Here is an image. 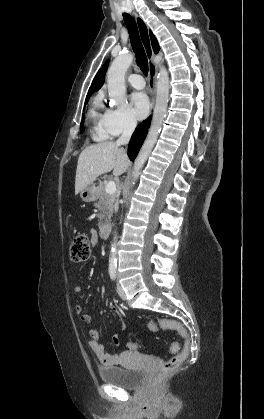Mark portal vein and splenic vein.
I'll return each mask as SVG.
<instances>
[{
	"mask_svg": "<svg viewBox=\"0 0 264 419\" xmlns=\"http://www.w3.org/2000/svg\"><path fill=\"white\" fill-rule=\"evenodd\" d=\"M106 192L108 194H114L116 192V184L114 181H109L106 185Z\"/></svg>",
	"mask_w": 264,
	"mask_h": 419,
	"instance_id": "portal-vein-and-splenic-vein-1",
	"label": "portal vein and splenic vein"
}]
</instances>
